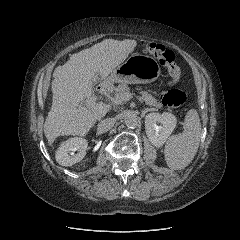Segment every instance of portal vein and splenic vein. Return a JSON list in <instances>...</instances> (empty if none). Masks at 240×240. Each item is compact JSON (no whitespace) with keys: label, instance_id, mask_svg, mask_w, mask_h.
Masks as SVG:
<instances>
[{"label":"portal vein and splenic vein","instance_id":"obj_1","mask_svg":"<svg viewBox=\"0 0 240 240\" xmlns=\"http://www.w3.org/2000/svg\"><path fill=\"white\" fill-rule=\"evenodd\" d=\"M132 97L131 93H126L125 96L123 97V99H125L126 101H128L130 98ZM139 101H141L140 97H137ZM95 101L96 99L94 97H90L86 100V105L88 106H93L95 105ZM84 108V106L80 105L79 109L82 110Z\"/></svg>","mask_w":240,"mask_h":240}]
</instances>
